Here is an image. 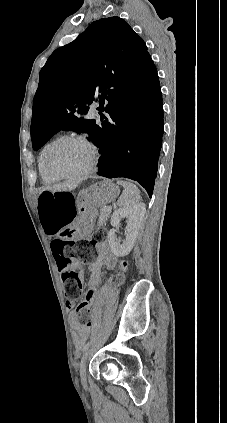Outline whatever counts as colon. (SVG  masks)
<instances>
[{"instance_id": "obj_1", "label": "colon", "mask_w": 227, "mask_h": 423, "mask_svg": "<svg viewBox=\"0 0 227 423\" xmlns=\"http://www.w3.org/2000/svg\"><path fill=\"white\" fill-rule=\"evenodd\" d=\"M40 220L47 234H60L52 243V251L57 262L58 270L64 286V294L67 300H76L81 297L85 273L82 265L92 263L96 254L93 241H72L69 238L73 233L70 225L75 217L74 199L71 193L66 191L46 190L41 193L38 200ZM96 240L105 238L103 229L95 233ZM126 262L121 263V269H126ZM122 280V274L116 277ZM93 291H89L85 299L76 309V318L80 323H89L93 302Z\"/></svg>"}]
</instances>
